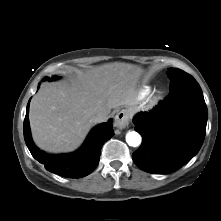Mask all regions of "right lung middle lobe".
I'll return each mask as SVG.
<instances>
[{"mask_svg": "<svg viewBox=\"0 0 221 221\" xmlns=\"http://www.w3.org/2000/svg\"><path fill=\"white\" fill-rule=\"evenodd\" d=\"M59 77L58 76H54V77H52V78H46L45 80H56V79H58Z\"/></svg>", "mask_w": 221, "mask_h": 221, "instance_id": "right-lung-middle-lobe-1", "label": "right lung middle lobe"}]
</instances>
